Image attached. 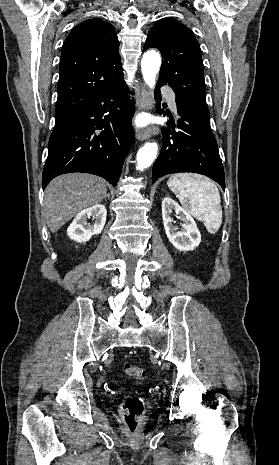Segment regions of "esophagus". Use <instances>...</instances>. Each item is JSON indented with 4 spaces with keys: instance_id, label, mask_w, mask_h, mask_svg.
<instances>
[{
    "instance_id": "obj_1",
    "label": "esophagus",
    "mask_w": 279,
    "mask_h": 465,
    "mask_svg": "<svg viewBox=\"0 0 279 465\" xmlns=\"http://www.w3.org/2000/svg\"><path fill=\"white\" fill-rule=\"evenodd\" d=\"M153 107V101L150 92L145 86L141 87V94L139 100V109L140 110H151ZM156 134V128L150 126L146 129L138 130L136 137L138 140L143 141L150 138L152 135Z\"/></svg>"
}]
</instances>
